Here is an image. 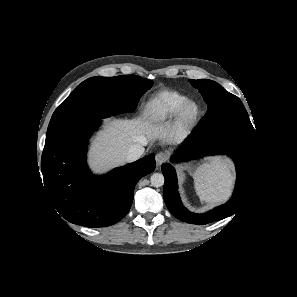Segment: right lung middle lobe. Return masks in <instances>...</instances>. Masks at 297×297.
<instances>
[{"instance_id": "dd1d6c3e", "label": "right lung middle lobe", "mask_w": 297, "mask_h": 297, "mask_svg": "<svg viewBox=\"0 0 297 297\" xmlns=\"http://www.w3.org/2000/svg\"><path fill=\"white\" fill-rule=\"evenodd\" d=\"M153 81L137 75L93 77L82 82L55 110L48 126L50 143L89 122L135 110Z\"/></svg>"}]
</instances>
